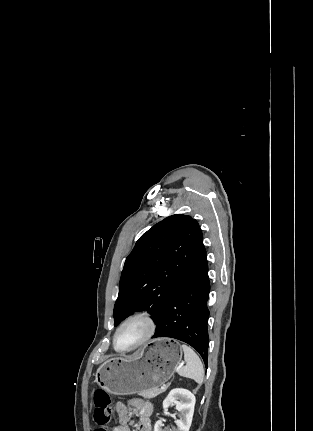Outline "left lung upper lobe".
<instances>
[{
  "label": "left lung upper lobe",
  "instance_id": "left-lung-upper-lobe-1",
  "mask_svg": "<svg viewBox=\"0 0 313 431\" xmlns=\"http://www.w3.org/2000/svg\"><path fill=\"white\" fill-rule=\"evenodd\" d=\"M205 255L201 229L192 217L175 214L155 224L126 258L114 306V325L142 310L156 322Z\"/></svg>",
  "mask_w": 313,
  "mask_h": 431
}]
</instances>
